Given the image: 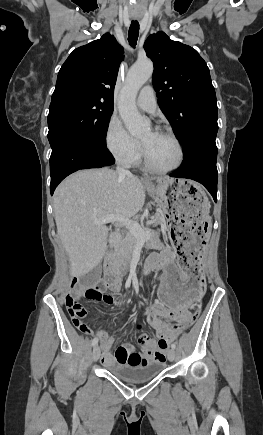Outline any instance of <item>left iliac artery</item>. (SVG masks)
<instances>
[{"label": "left iliac artery", "instance_id": "1", "mask_svg": "<svg viewBox=\"0 0 263 435\" xmlns=\"http://www.w3.org/2000/svg\"><path fill=\"white\" fill-rule=\"evenodd\" d=\"M171 348H172V349H176V345L173 343V344L171 345Z\"/></svg>", "mask_w": 263, "mask_h": 435}]
</instances>
